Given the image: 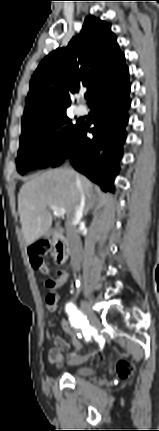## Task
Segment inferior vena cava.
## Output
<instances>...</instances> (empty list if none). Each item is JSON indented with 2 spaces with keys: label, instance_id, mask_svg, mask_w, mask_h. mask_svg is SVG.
<instances>
[{
  "label": "inferior vena cava",
  "instance_id": "602c4592",
  "mask_svg": "<svg viewBox=\"0 0 159 431\" xmlns=\"http://www.w3.org/2000/svg\"><path fill=\"white\" fill-rule=\"evenodd\" d=\"M76 188L80 192V198L75 206L74 216L67 225V237L70 242L71 257L75 264L80 261L82 255V243L77 233L76 226L82 218L85 207V193L78 176H76Z\"/></svg>",
  "mask_w": 159,
  "mask_h": 431
}]
</instances>
